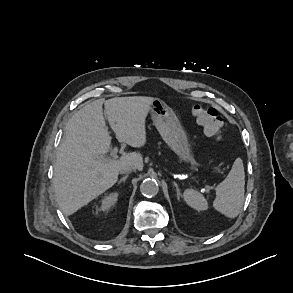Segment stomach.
Instances as JSON below:
<instances>
[{
    "instance_id": "stomach-1",
    "label": "stomach",
    "mask_w": 293,
    "mask_h": 293,
    "mask_svg": "<svg viewBox=\"0 0 293 293\" xmlns=\"http://www.w3.org/2000/svg\"><path fill=\"white\" fill-rule=\"evenodd\" d=\"M153 122L163 140L178 156L179 160L195 169L194 159L188 137L173 110L162 100L154 99L151 104Z\"/></svg>"
}]
</instances>
